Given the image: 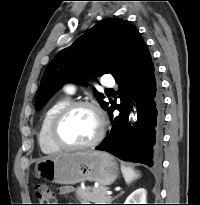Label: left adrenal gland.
<instances>
[{"label": "left adrenal gland", "mask_w": 200, "mask_h": 205, "mask_svg": "<svg viewBox=\"0 0 200 205\" xmlns=\"http://www.w3.org/2000/svg\"><path fill=\"white\" fill-rule=\"evenodd\" d=\"M124 193V191H121L113 200H115L116 198H118L120 195H122Z\"/></svg>", "instance_id": "a2214340"}]
</instances>
